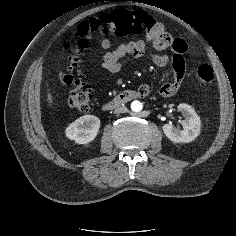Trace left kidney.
<instances>
[{
    "mask_svg": "<svg viewBox=\"0 0 236 236\" xmlns=\"http://www.w3.org/2000/svg\"><path fill=\"white\" fill-rule=\"evenodd\" d=\"M178 111L185 117V120L181 122L183 130H179L171 123H167L162 127L164 134L175 143L192 142L200 134V118L195 110L187 104H179Z\"/></svg>",
    "mask_w": 236,
    "mask_h": 236,
    "instance_id": "left-kidney-1",
    "label": "left kidney"
}]
</instances>
